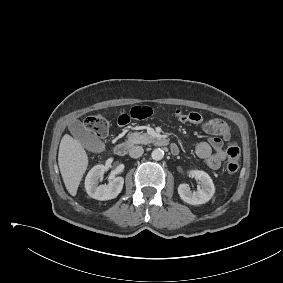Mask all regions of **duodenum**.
Here are the masks:
<instances>
[{"mask_svg":"<svg viewBox=\"0 0 283 283\" xmlns=\"http://www.w3.org/2000/svg\"><path fill=\"white\" fill-rule=\"evenodd\" d=\"M119 125L121 126H124L122 124L119 123ZM155 143L158 145V146H161V147H164V146H168L169 145V140L165 137H160V138H157ZM131 145L129 143H126V142H123V143H119L115 146L114 148V153L117 155V156H125L127 155L129 149H130ZM170 149H171V152L173 154H178L179 152V149L177 147V145L175 144H171L170 145Z\"/></svg>","mask_w":283,"mask_h":283,"instance_id":"obj_1","label":"duodenum"}]
</instances>
